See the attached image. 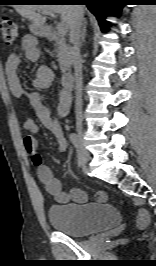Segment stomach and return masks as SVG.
<instances>
[{
	"instance_id": "obj_1",
	"label": "stomach",
	"mask_w": 156,
	"mask_h": 266,
	"mask_svg": "<svg viewBox=\"0 0 156 266\" xmlns=\"http://www.w3.org/2000/svg\"><path fill=\"white\" fill-rule=\"evenodd\" d=\"M31 31H32L33 33H35V34H41V33L43 32L42 29L37 28V27H32V25H31Z\"/></svg>"
}]
</instances>
